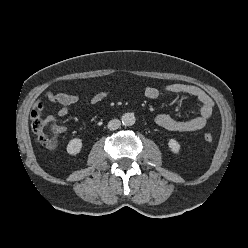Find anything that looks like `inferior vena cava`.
I'll list each match as a JSON object with an SVG mask.
<instances>
[{"label": "inferior vena cava", "instance_id": "1", "mask_svg": "<svg viewBox=\"0 0 248 248\" xmlns=\"http://www.w3.org/2000/svg\"><path fill=\"white\" fill-rule=\"evenodd\" d=\"M120 125H121L120 120L113 119L108 122L107 126H108V129L112 131V130H117L118 128H120Z\"/></svg>", "mask_w": 248, "mask_h": 248}]
</instances>
